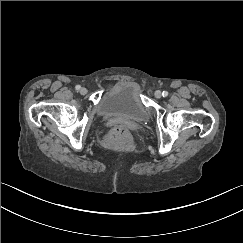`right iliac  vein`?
Masks as SVG:
<instances>
[{
  "mask_svg": "<svg viewBox=\"0 0 243 243\" xmlns=\"http://www.w3.org/2000/svg\"><path fill=\"white\" fill-rule=\"evenodd\" d=\"M80 93L82 94V95H85V94H87V89L86 88H81L80 89Z\"/></svg>",
  "mask_w": 243,
  "mask_h": 243,
  "instance_id": "63e3f726",
  "label": "right iliac vein"
}]
</instances>
